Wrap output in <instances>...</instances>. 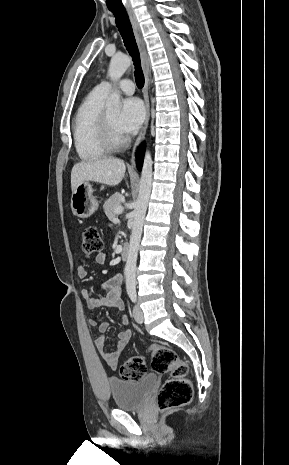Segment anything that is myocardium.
<instances>
[{"label": "myocardium", "mask_w": 289, "mask_h": 465, "mask_svg": "<svg viewBox=\"0 0 289 465\" xmlns=\"http://www.w3.org/2000/svg\"><path fill=\"white\" fill-rule=\"evenodd\" d=\"M99 136L102 144L109 150L119 149L126 144V139L112 126L106 110H103L100 117Z\"/></svg>", "instance_id": "1"}]
</instances>
